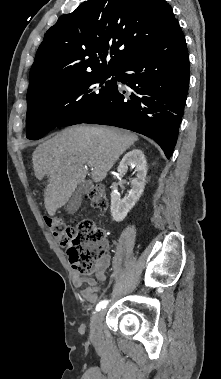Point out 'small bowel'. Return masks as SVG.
I'll list each match as a JSON object with an SVG mask.
<instances>
[{
	"mask_svg": "<svg viewBox=\"0 0 221 379\" xmlns=\"http://www.w3.org/2000/svg\"><path fill=\"white\" fill-rule=\"evenodd\" d=\"M109 265L110 256L105 254L98 264L96 278L83 277L79 274H75L73 277L74 285L81 288V296L91 304H95L99 299L97 294L98 282L105 280V272Z\"/></svg>",
	"mask_w": 221,
	"mask_h": 379,
	"instance_id": "small-bowel-1",
	"label": "small bowel"
}]
</instances>
